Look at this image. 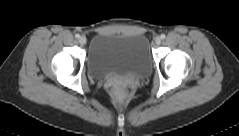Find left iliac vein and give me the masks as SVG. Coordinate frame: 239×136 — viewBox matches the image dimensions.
<instances>
[{
  "label": "left iliac vein",
  "instance_id": "1",
  "mask_svg": "<svg viewBox=\"0 0 239 136\" xmlns=\"http://www.w3.org/2000/svg\"><path fill=\"white\" fill-rule=\"evenodd\" d=\"M154 42H155V45H156V46L160 45V43H161V38H160V37H156L155 40H154Z\"/></svg>",
  "mask_w": 239,
  "mask_h": 136
}]
</instances>
